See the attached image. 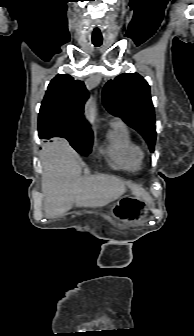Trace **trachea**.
I'll use <instances>...</instances> for the list:
<instances>
[{
    "label": "trachea",
    "mask_w": 194,
    "mask_h": 336,
    "mask_svg": "<svg viewBox=\"0 0 194 336\" xmlns=\"http://www.w3.org/2000/svg\"><path fill=\"white\" fill-rule=\"evenodd\" d=\"M92 44L95 46V47H100L102 45V41H92Z\"/></svg>",
    "instance_id": "trachea-1"
}]
</instances>
